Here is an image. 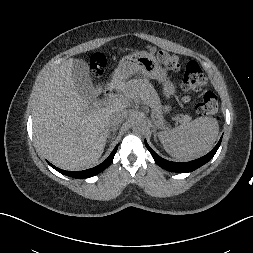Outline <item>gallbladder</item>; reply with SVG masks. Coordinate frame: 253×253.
<instances>
[{
    "mask_svg": "<svg viewBox=\"0 0 253 253\" xmlns=\"http://www.w3.org/2000/svg\"><path fill=\"white\" fill-rule=\"evenodd\" d=\"M72 78L78 93L92 103L97 101L95 88L91 82L88 66L82 60H75L73 63Z\"/></svg>",
    "mask_w": 253,
    "mask_h": 253,
    "instance_id": "1",
    "label": "gallbladder"
}]
</instances>
